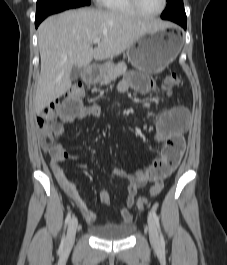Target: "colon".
I'll list each match as a JSON object with an SVG mask.
<instances>
[{"instance_id": "obj_1", "label": "colon", "mask_w": 227, "mask_h": 265, "mask_svg": "<svg viewBox=\"0 0 227 265\" xmlns=\"http://www.w3.org/2000/svg\"><path fill=\"white\" fill-rule=\"evenodd\" d=\"M183 84L181 77L176 73H170L165 80V90L167 92H170L171 89L181 87ZM71 91H82L83 97V87L81 85H74L71 87L68 92L65 94V96H71ZM62 100H58L54 103H51L50 105L46 106L37 117V124L39 129L42 132L41 137V144L43 148H49L53 145V137L51 134V125L52 122L55 120L58 112H59V105ZM180 156L178 153H171L167 154L164 159V164L168 168H175L176 165L179 162ZM163 189V181L156 182L151 190H150V196L155 197L161 193ZM148 204V199L140 197L137 199V207L139 209H144Z\"/></svg>"}]
</instances>
